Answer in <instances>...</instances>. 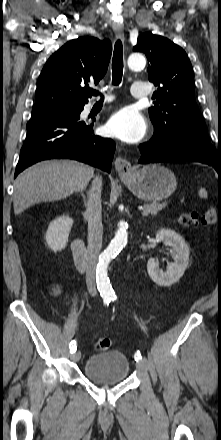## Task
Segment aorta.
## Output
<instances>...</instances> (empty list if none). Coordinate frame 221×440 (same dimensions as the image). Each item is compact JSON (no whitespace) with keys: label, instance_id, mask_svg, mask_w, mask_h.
Returning a JSON list of instances; mask_svg holds the SVG:
<instances>
[{"label":"aorta","instance_id":"762f6f07","mask_svg":"<svg viewBox=\"0 0 221 440\" xmlns=\"http://www.w3.org/2000/svg\"><path fill=\"white\" fill-rule=\"evenodd\" d=\"M146 65V59L142 54L133 53L128 58V66L132 70H139ZM128 233L124 222L119 223V228L106 250L101 254L96 269V280L99 289L111 292L112 287L107 275V268L111 259L127 244Z\"/></svg>","mask_w":221,"mask_h":440}]
</instances>
